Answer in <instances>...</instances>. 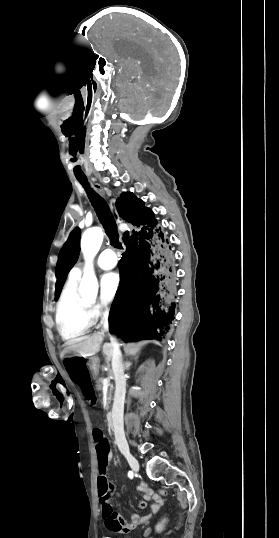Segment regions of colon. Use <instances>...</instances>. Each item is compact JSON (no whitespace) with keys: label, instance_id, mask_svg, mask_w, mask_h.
<instances>
[{"label":"colon","instance_id":"1","mask_svg":"<svg viewBox=\"0 0 279 538\" xmlns=\"http://www.w3.org/2000/svg\"><path fill=\"white\" fill-rule=\"evenodd\" d=\"M97 459H98V493L102 506L103 516H111L114 511L109 502V483L107 480V464L111 454L110 445L103 431L96 429L93 431Z\"/></svg>","mask_w":279,"mask_h":538}]
</instances>
